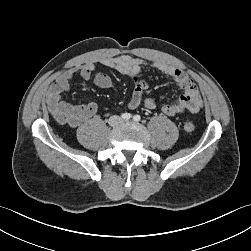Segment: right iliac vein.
<instances>
[{"mask_svg": "<svg viewBox=\"0 0 251 251\" xmlns=\"http://www.w3.org/2000/svg\"><path fill=\"white\" fill-rule=\"evenodd\" d=\"M119 122H120V119H119L118 117H116V116L112 117V118L109 120V123H110V125H112V126L118 125Z\"/></svg>", "mask_w": 251, "mask_h": 251, "instance_id": "63e3f726", "label": "right iliac vein"}]
</instances>
